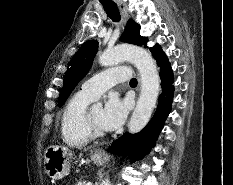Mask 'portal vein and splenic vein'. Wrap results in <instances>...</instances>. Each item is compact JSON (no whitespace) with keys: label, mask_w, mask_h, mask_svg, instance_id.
I'll use <instances>...</instances> for the list:
<instances>
[{"label":"portal vein and splenic vein","mask_w":233,"mask_h":185,"mask_svg":"<svg viewBox=\"0 0 233 185\" xmlns=\"http://www.w3.org/2000/svg\"><path fill=\"white\" fill-rule=\"evenodd\" d=\"M85 185H92V183H91V182H88V183H86Z\"/></svg>","instance_id":"18ae733b"}]
</instances>
